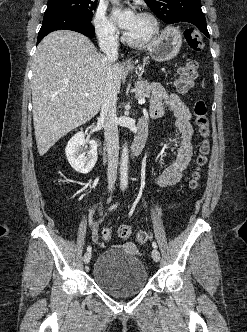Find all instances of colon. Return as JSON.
<instances>
[{
    "mask_svg": "<svg viewBox=\"0 0 247 332\" xmlns=\"http://www.w3.org/2000/svg\"><path fill=\"white\" fill-rule=\"evenodd\" d=\"M185 39L189 47L194 51H200L203 46V38L201 33L196 29H188L185 31ZM198 76V64L195 61H189L178 69V76L175 80V87L181 94L189 92L195 83ZM194 122L198 135L201 139L199 144V152L195 161V169L192 173L190 187L197 189L201 178V170L207 162V157L210 152L209 144V120L207 105L203 100H198L194 105ZM133 230L128 225H122L118 229V235L122 239H128L132 236ZM102 237L105 241H109L112 237L110 229L106 228L102 232ZM151 238L149 232L139 230L135 233V239L138 243H146Z\"/></svg>",
    "mask_w": 247,
    "mask_h": 332,
    "instance_id": "obj_1",
    "label": "colon"
}]
</instances>
